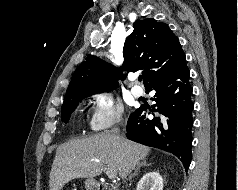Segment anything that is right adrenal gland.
I'll use <instances>...</instances> for the list:
<instances>
[{"mask_svg":"<svg viewBox=\"0 0 238 190\" xmlns=\"http://www.w3.org/2000/svg\"><path fill=\"white\" fill-rule=\"evenodd\" d=\"M149 165H150V164H147L145 160H143L141 163H139V164L137 165V167L135 168L134 173L130 174V176H129V181H131V179H132L134 176L138 175L139 170H140V168H141L142 166H149Z\"/></svg>","mask_w":238,"mask_h":190,"instance_id":"obj_1","label":"right adrenal gland"}]
</instances>
